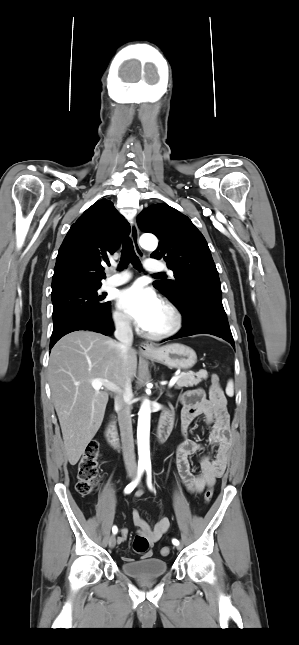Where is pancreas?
Returning a JSON list of instances; mask_svg holds the SVG:
<instances>
[{
	"mask_svg": "<svg viewBox=\"0 0 299 645\" xmlns=\"http://www.w3.org/2000/svg\"><path fill=\"white\" fill-rule=\"evenodd\" d=\"M208 373L206 370H200L197 373H182L176 382V388L193 387L199 384L203 379H207Z\"/></svg>",
	"mask_w": 299,
	"mask_h": 645,
	"instance_id": "1",
	"label": "pancreas"
}]
</instances>
